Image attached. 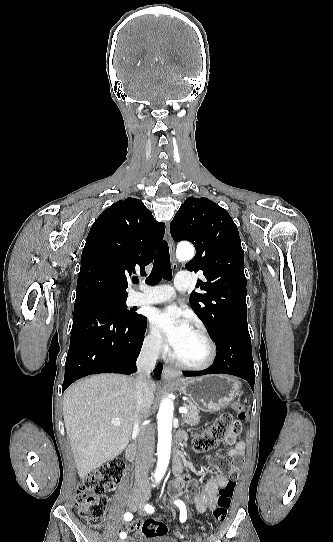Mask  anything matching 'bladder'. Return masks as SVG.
Wrapping results in <instances>:
<instances>
[{
    "label": "bladder",
    "instance_id": "1",
    "mask_svg": "<svg viewBox=\"0 0 333 542\" xmlns=\"http://www.w3.org/2000/svg\"><path fill=\"white\" fill-rule=\"evenodd\" d=\"M144 542H179L171 535H153L148 536Z\"/></svg>",
    "mask_w": 333,
    "mask_h": 542
}]
</instances>
